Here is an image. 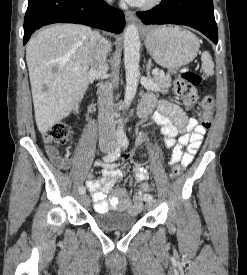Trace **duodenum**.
Masks as SVG:
<instances>
[{
    "mask_svg": "<svg viewBox=\"0 0 247 275\" xmlns=\"http://www.w3.org/2000/svg\"><path fill=\"white\" fill-rule=\"evenodd\" d=\"M90 108H92V106ZM139 109H140L141 113H145L146 112V107L144 105H141Z\"/></svg>",
    "mask_w": 247,
    "mask_h": 275,
    "instance_id": "obj_1",
    "label": "duodenum"
}]
</instances>
